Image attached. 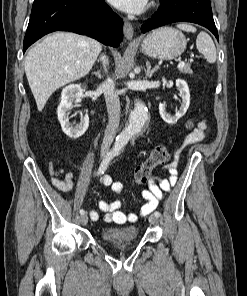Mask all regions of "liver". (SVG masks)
<instances>
[{
  "instance_id": "1",
  "label": "liver",
  "mask_w": 247,
  "mask_h": 296,
  "mask_svg": "<svg viewBox=\"0 0 247 296\" xmlns=\"http://www.w3.org/2000/svg\"><path fill=\"white\" fill-rule=\"evenodd\" d=\"M101 50L95 39L70 32H55L31 48L25 73L38 110L55 90L87 75Z\"/></svg>"
}]
</instances>
